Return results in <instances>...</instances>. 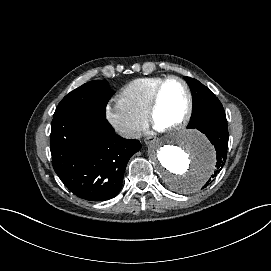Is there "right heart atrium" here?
Returning a JSON list of instances; mask_svg holds the SVG:
<instances>
[{"label":"right heart atrium","instance_id":"obj_1","mask_svg":"<svg viewBox=\"0 0 271 271\" xmlns=\"http://www.w3.org/2000/svg\"><path fill=\"white\" fill-rule=\"evenodd\" d=\"M105 116L126 139L138 138L148 125L147 118L131 111L120 97L106 103Z\"/></svg>","mask_w":271,"mask_h":271}]
</instances>
